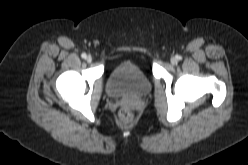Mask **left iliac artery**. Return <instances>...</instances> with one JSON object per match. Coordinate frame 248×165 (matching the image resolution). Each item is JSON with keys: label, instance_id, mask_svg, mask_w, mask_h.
<instances>
[{"label": "left iliac artery", "instance_id": "1", "mask_svg": "<svg viewBox=\"0 0 248 165\" xmlns=\"http://www.w3.org/2000/svg\"><path fill=\"white\" fill-rule=\"evenodd\" d=\"M176 58H177V59H181V57H180V56H176Z\"/></svg>", "mask_w": 248, "mask_h": 165}]
</instances>
